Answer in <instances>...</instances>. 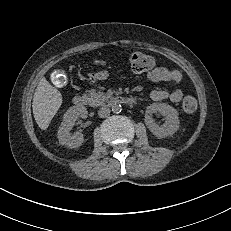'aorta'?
Instances as JSON below:
<instances>
[{"mask_svg":"<svg viewBox=\"0 0 231 231\" xmlns=\"http://www.w3.org/2000/svg\"><path fill=\"white\" fill-rule=\"evenodd\" d=\"M112 111H113L114 113H120V112L122 111V106H121V104H120L119 102H114V103L112 104Z\"/></svg>","mask_w":231,"mask_h":231,"instance_id":"762f6f07","label":"aorta"}]
</instances>
